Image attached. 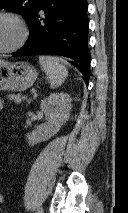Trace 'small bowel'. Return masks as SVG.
I'll return each instance as SVG.
<instances>
[{
    "instance_id": "obj_1",
    "label": "small bowel",
    "mask_w": 128,
    "mask_h": 213,
    "mask_svg": "<svg viewBox=\"0 0 128 213\" xmlns=\"http://www.w3.org/2000/svg\"><path fill=\"white\" fill-rule=\"evenodd\" d=\"M2 108H3V101H2V99L0 98V111L2 110Z\"/></svg>"
}]
</instances>
